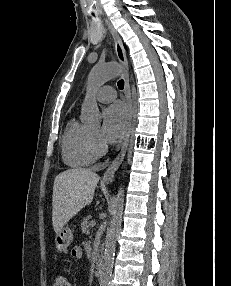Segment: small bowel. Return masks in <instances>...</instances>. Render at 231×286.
<instances>
[{"label":"small bowel","mask_w":231,"mask_h":286,"mask_svg":"<svg viewBox=\"0 0 231 286\" xmlns=\"http://www.w3.org/2000/svg\"><path fill=\"white\" fill-rule=\"evenodd\" d=\"M71 255L73 258L79 259L82 257V249L78 246L74 247L71 251Z\"/></svg>","instance_id":"1"}]
</instances>
